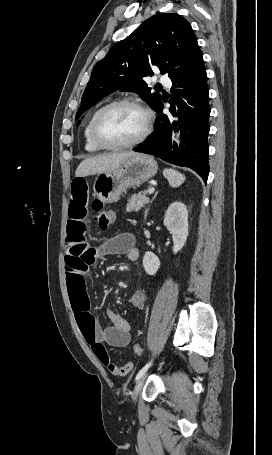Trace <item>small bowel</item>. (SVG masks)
Here are the masks:
<instances>
[{
	"instance_id": "obj_1",
	"label": "small bowel",
	"mask_w": 272,
	"mask_h": 455,
	"mask_svg": "<svg viewBox=\"0 0 272 455\" xmlns=\"http://www.w3.org/2000/svg\"><path fill=\"white\" fill-rule=\"evenodd\" d=\"M89 187L82 176L75 177L71 184L70 203L66 237L65 269L68 293L79 329L101 364L117 377L127 375L133 369V361L123 366L111 362L108 347H125L129 344L130 324L126 318L111 309L106 310L110 326L103 328L90 310L86 278L90 266L101 255H123L136 261L140 252L131 233H120L108 238L98 248L86 242V218L88 211ZM138 309L145 306L146 295L135 290L128 298Z\"/></svg>"
}]
</instances>
